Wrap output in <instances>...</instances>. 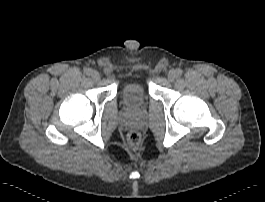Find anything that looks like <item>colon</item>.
<instances>
[{"instance_id":"obj_1","label":"colon","mask_w":265,"mask_h":202,"mask_svg":"<svg viewBox=\"0 0 265 202\" xmlns=\"http://www.w3.org/2000/svg\"><path fill=\"white\" fill-rule=\"evenodd\" d=\"M141 142V135L139 132L132 131L128 135V144L131 147H137Z\"/></svg>"}]
</instances>
